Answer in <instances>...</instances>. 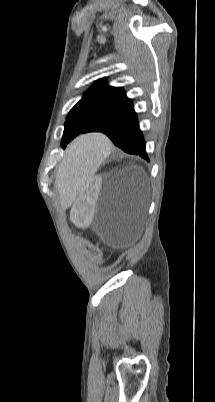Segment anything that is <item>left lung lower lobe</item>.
<instances>
[{
	"instance_id": "left-lung-lower-lobe-1",
	"label": "left lung lower lobe",
	"mask_w": 215,
	"mask_h": 402,
	"mask_svg": "<svg viewBox=\"0 0 215 402\" xmlns=\"http://www.w3.org/2000/svg\"><path fill=\"white\" fill-rule=\"evenodd\" d=\"M95 132L106 134L124 152L138 154L148 160L144 137L139 128L133 104H130L112 119L103 123Z\"/></svg>"
}]
</instances>
